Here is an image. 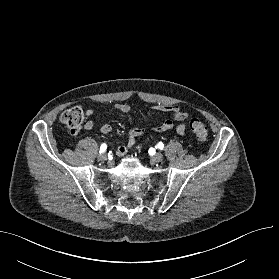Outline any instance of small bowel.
<instances>
[{
    "label": "small bowel",
    "mask_w": 279,
    "mask_h": 279,
    "mask_svg": "<svg viewBox=\"0 0 279 279\" xmlns=\"http://www.w3.org/2000/svg\"><path fill=\"white\" fill-rule=\"evenodd\" d=\"M116 109L121 113H128L130 111V106L128 104H118ZM153 109L161 112H168L172 115L175 120L180 121L181 123L177 126L176 131L179 135L183 136L187 129V120L188 112L180 105H166V104H157L153 106ZM95 114L93 109H88L86 111L87 117H92ZM95 127V123L92 120H88L84 124L86 130H92ZM100 131L103 134H109L112 131V127L108 123H102L99 126ZM173 128V122L171 120H165L161 124L152 128L156 132H166ZM146 133V129L142 127H133L129 130L127 136V142L119 146L116 150V155L118 157H123L127 154L128 150L135 145L137 137H140Z\"/></svg>",
    "instance_id": "small-bowel-1"
}]
</instances>
